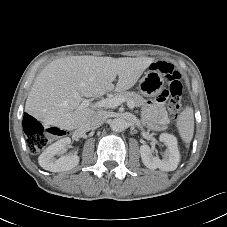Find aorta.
<instances>
[{
	"instance_id": "762f6f07",
	"label": "aorta",
	"mask_w": 227,
	"mask_h": 227,
	"mask_svg": "<svg viewBox=\"0 0 227 227\" xmlns=\"http://www.w3.org/2000/svg\"><path fill=\"white\" fill-rule=\"evenodd\" d=\"M110 128L114 132H122L127 128V121L123 118H115L110 122Z\"/></svg>"
}]
</instances>
